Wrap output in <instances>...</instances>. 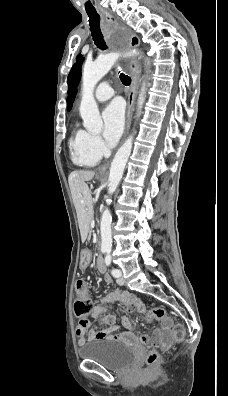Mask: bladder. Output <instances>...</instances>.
<instances>
[{
	"instance_id": "obj_1",
	"label": "bladder",
	"mask_w": 228,
	"mask_h": 396,
	"mask_svg": "<svg viewBox=\"0 0 228 396\" xmlns=\"http://www.w3.org/2000/svg\"><path fill=\"white\" fill-rule=\"evenodd\" d=\"M85 360L95 361L111 370H124L134 360L132 347L119 339L99 340L83 345L78 350Z\"/></svg>"
}]
</instances>
